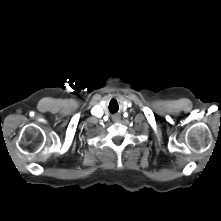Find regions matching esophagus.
Listing matches in <instances>:
<instances>
[{
    "label": "esophagus",
    "mask_w": 221,
    "mask_h": 221,
    "mask_svg": "<svg viewBox=\"0 0 221 221\" xmlns=\"http://www.w3.org/2000/svg\"><path fill=\"white\" fill-rule=\"evenodd\" d=\"M113 120L116 121V122H118V121L120 120V116H117V115L114 116V117H113Z\"/></svg>",
    "instance_id": "obj_1"
}]
</instances>
